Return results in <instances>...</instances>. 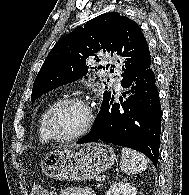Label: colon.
I'll return each mask as SVG.
<instances>
[{"instance_id": "5ec220e1", "label": "colon", "mask_w": 189, "mask_h": 195, "mask_svg": "<svg viewBox=\"0 0 189 195\" xmlns=\"http://www.w3.org/2000/svg\"><path fill=\"white\" fill-rule=\"evenodd\" d=\"M31 195H52V193L43 184H36L32 188Z\"/></svg>"}]
</instances>
